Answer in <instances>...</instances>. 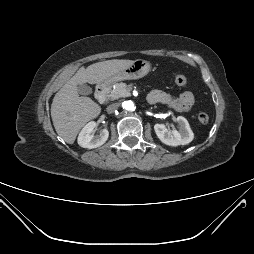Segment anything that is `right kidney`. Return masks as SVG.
Segmentation results:
<instances>
[{
    "label": "right kidney",
    "instance_id": "right-kidney-1",
    "mask_svg": "<svg viewBox=\"0 0 254 254\" xmlns=\"http://www.w3.org/2000/svg\"><path fill=\"white\" fill-rule=\"evenodd\" d=\"M97 127L95 121L86 124L78 136V144L83 148L93 149L103 145L109 137L107 129H103L99 134H94V129Z\"/></svg>",
    "mask_w": 254,
    "mask_h": 254
}]
</instances>
